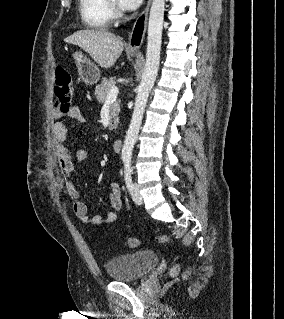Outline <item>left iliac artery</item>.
Wrapping results in <instances>:
<instances>
[{
	"instance_id": "obj_1",
	"label": "left iliac artery",
	"mask_w": 284,
	"mask_h": 319,
	"mask_svg": "<svg viewBox=\"0 0 284 319\" xmlns=\"http://www.w3.org/2000/svg\"><path fill=\"white\" fill-rule=\"evenodd\" d=\"M124 162H125V170H124L125 182H126L127 188H128L129 190H131V188H132L131 160H130V159H126V160H124Z\"/></svg>"
}]
</instances>
